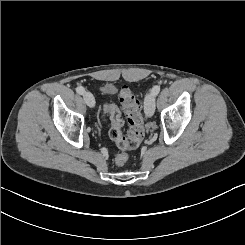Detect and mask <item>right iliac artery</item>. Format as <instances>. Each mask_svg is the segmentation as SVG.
I'll return each instance as SVG.
<instances>
[{
	"label": "right iliac artery",
	"instance_id": "1",
	"mask_svg": "<svg viewBox=\"0 0 245 245\" xmlns=\"http://www.w3.org/2000/svg\"><path fill=\"white\" fill-rule=\"evenodd\" d=\"M76 92L80 95L84 94L85 89L82 86L76 88Z\"/></svg>",
	"mask_w": 245,
	"mask_h": 245
}]
</instances>
